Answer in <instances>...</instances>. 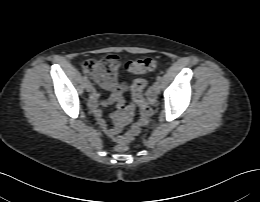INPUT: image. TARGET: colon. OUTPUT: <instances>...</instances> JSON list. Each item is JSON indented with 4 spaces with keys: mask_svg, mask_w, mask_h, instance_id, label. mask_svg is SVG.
<instances>
[{
    "mask_svg": "<svg viewBox=\"0 0 260 202\" xmlns=\"http://www.w3.org/2000/svg\"><path fill=\"white\" fill-rule=\"evenodd\" d=\"M120 66V62L115 55H107L99 60H87L83 64V70L86 75L101 85L115 80ZM154 67L155 61L151 58L133 60L124 64V68L128 72L136 75L149 72L153 70ZM146 86L147 82L145 80H137L133 85V101L140 108V118L118 139L115 149L120 153L128 150V143L139 134L142 127L148 123L152 115V108L143 94Z\"/></svg>",
    "mask_w": 260,
    "mask_h": 202,
    "instance_id": "5ec220e1",
    "label": "colon"
}]
</instances>
